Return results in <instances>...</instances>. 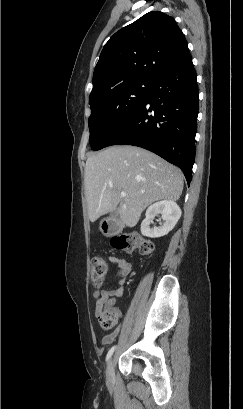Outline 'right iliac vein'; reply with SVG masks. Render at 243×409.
Returning a JSON list of instances; mask_svg holds the SVG:
<instances>
[{"instance_id": "1", "label": "right iliac vein", "mask_w": 243, "mask_h": 409, "mask_svg": "<svg viewBox=\"0 0 243 409\" xmlns=\"http://www.w3.org/2000/svg\"><path fill=\"white\" fill-rule=\"evenodd\" d=\"M113 373H114V362H113V358H111L108 362L107 369H106V375L109 381L113 380Z\"/></svg>"}]
</instances>
